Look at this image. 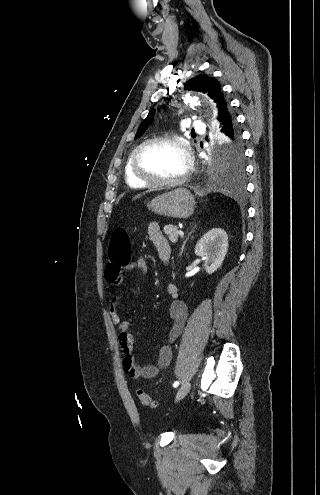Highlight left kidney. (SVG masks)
<instances>
[{
  "mask_svg": "<svg viewBox=\"0 0 320 495\" xmlns=\"http://www.w3.org/2000/svg\"><path fill=\"white\" fill-rule=\"evenodd\" d=\"M228 251L227 233L220 228L208 231L197 243L195 254L204 261L208 274L220 268Z\"/></svg>",
  "mask_w": 320,
  "mask_h": 495,
  "instance_id": "1",
  "label": "left kidney"
}]
</instances>
